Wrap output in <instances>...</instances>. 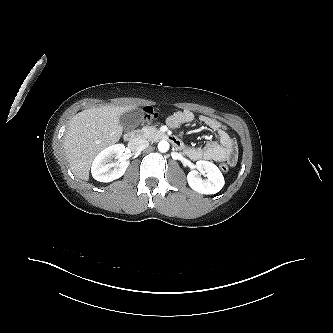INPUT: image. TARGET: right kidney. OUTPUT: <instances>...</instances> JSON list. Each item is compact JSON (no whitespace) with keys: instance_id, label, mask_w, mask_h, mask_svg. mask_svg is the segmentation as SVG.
Segmentation results:
<instances>
[{"instance_id":"right-kidney-1","label":"right kidney","mask_w":333,"mask_h":333,"mask_svg":"<svg viewBox=\"0 0 333 333\" xmlns=\"http://www.w3.org/2000/svg\"><path fill=\"white\" fill-rule=\"evenodd\" d=\"M124 151L125 146L123 144H115L101 151L92 163L91 172L93 178L99 182L107 183L124 175L129 166V161L121 159ZM114 156L119 158V160L116 163H110Z\"/></svg>"}]
</instances>
